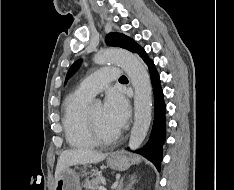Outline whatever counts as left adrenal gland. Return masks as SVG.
<instances>
[{
	"mask_svg": "<svg viewBox=\"0 0 234 190\" xmlns=\"http://www.w3.org/2000/svg\"><path fill=\"white\" fill-rule=\"evenodd\" d=\"M123 180H124V177L121 178L116 190H129L135 182L134 177H131V180H130L131 182L127 185L126 188H123Z\"/></svg>",
	"mask_w": 234,
	"mask_h": 190,
	"instance_id": "left-adrenal-gland-1",
	"label": "left adrenal gland"
}]
</instances>
